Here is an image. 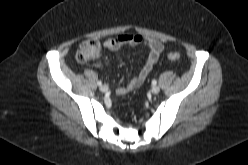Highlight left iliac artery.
<instances>
[{"label": "left iliac artery", "instance_id": "left-iliac-artery-1", "mask_svg": "<svg viewBox=\"0 0 248 165\" xmlns=\"http://www.w3.org/2000/svg\"><path fill=\"white\" fill-rule=\"evenodd\" d=\"M152 84L153 85H156L157 84V81L156 80H152Z\"/></svg>", "mask_w": 248, "mask_h": 165}]
</instances>
